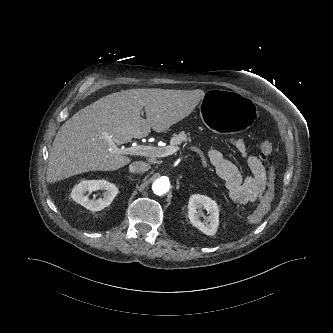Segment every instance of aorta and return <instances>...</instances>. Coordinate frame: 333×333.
I'll return each instance as SVG.
<instances>
[{
    "mask_svg": "<svg viewBox=\"0 0 333 333\" xmlns=\"http://www.w3.org/2000/svg\"><path fill=\"white\" fill-rule=\"evenodd\" d=\"M170 189L169 179L166 177H160L156 179L152 184V190L156 195H164Z\"/></svg>",
    "mask_w": 333,
    "mask_h": 333,
    "instance_id": "762f6f07",
    "label": "aorta"
}]
</instances>
